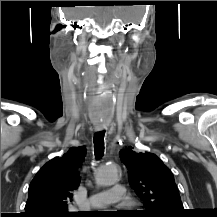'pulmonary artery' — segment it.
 <instances>
[{"label": "pulmonary artery", "mask_w": 217, "mask_h": 217, "mask_svg": "<svg viewBox=\"0 0 217 217\" xmlns=\"http://www.w3.org/2000/svg\"><path fill=\"white\" fill-rule=\"evenodd\" d=\"M125 196V188L115 185L111 190L99 192L88 198V204L92 208H104L115 202L121 201Z\"/></svg>", "instance_id": "1"}]
</instances>
